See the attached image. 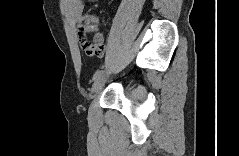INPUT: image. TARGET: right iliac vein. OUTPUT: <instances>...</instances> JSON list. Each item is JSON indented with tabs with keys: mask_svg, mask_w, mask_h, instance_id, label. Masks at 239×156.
<instances>
[{
	"mask_svg": "<svg viewBox=\"0 0 239 156\" xmlns=\"http://www.w3.org/2000/svg\"><path fill=\"white\" fill-rule=\"evenodd\" d=\"M108 79V75L100 76L92 85L91 94H95L100 91V89L104 86L105 82Z\"/></svg>",
	"mask_w": 239,
	"mask_h": 156,
	"instance_id": "1",
	"label": "right iliac vein"
}]
</instances>
